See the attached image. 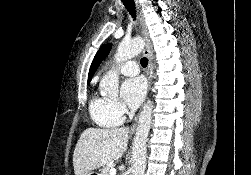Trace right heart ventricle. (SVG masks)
<instances>
[{
    "instance_id": "e07e8e85",
    "label": "right heart ventricle",
    "mask_w": 251,
    "mask_h": 175,
    "mask_svg": "<svg viewBox=\"0 0 251 175\" xmlns=\"http://www.w3.org/2000/svg\"><path fill=\"white\" fill-rule=\"evenodd\" d=\"M88 111L93 121L101 127L115 128L120 124L112 112L111 102L98 94H94L91 98Z\"/></svg>"
}]
</instances>
